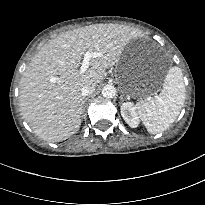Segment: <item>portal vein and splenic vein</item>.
Returning <instances> with one entry per match:
<instances>
[{"instance_id": "portal-vein-and-splenic-vein-1", "label": "portal vein and splenic vein", "mask_w": 205, "mask_h": 205, "mask_svg": "<svg viewBox=\"0 0 205 205\" xmlns=\"http://www.w3.org/2000/svg\"><path fill=\"white\" fill-rule=\"evenodd\" d=\"M99 54L96 52H90V51H85L84 53V57L81 63V67H80V74H83L86 72V70L89 68V62L91 60V58H95L98 57Z\"/></svg>"}]
</instances>
